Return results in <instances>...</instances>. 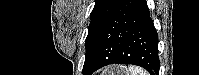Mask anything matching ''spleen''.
<instances>
[{
	"label": "spleen",
	"mask_w": 199,
	"mask_h": 75,
	"mask_svg": "<svg viewBox=\"0 0 199 75\" xmlns=\"http://www.w3.org/2000/svg\"><path fill=\"white\" fill-rule=\"evenodd\" d=\"M129 72L131 75H148L146 71L138 67H129Z\"/></svg>",
	"instance_id": "spleen-1"
}]
</instances>
